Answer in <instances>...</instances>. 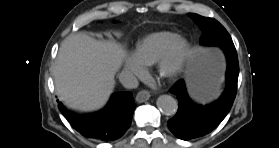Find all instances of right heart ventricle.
<instances>
[{"label":"right heart ventricle","instance_id":"1","mask_svg":"<svg viewBox=\"0 0 279 148\" xmlns=\"http://www.w3.org/2000/svg\"><path fill=\"white\" fill-rule=\"evenodd\" d=\"M176 37L175 33L169 31L149 34L138 43L134 56L143 66L153 65L158 62Z\"/></svg>","mask_w":279,"mask_h":148}]
</instances>
